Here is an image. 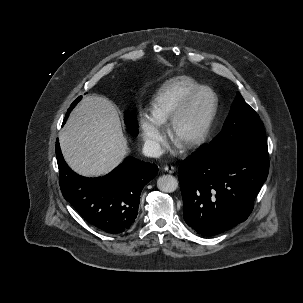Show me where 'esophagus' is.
Returning <instances> with one entry per match:
<instances>
[{
	"mask_svg": "<svg viewBox=\"0 0 303 303\" xmlns=\"http://www.w3.org/2000/svg\"><path fill=\"white\" fill-rule=\"evenodd\" d=\"M164 171L168 172V173H174L175 172V168L173 166H164Z\"/></svg>",
	"mask_w": 303,
	"mask_h": 303,
	"instance_id": "1",
	"label": "esophagus"
}]
</instances>
